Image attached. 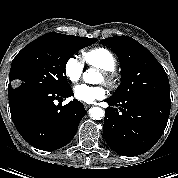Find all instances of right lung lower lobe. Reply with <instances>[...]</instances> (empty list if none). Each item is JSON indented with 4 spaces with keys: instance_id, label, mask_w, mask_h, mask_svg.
Listing matches in <instances>:
<instances>
[{
    "instance_id": "obj_1",
    "label": "right lung lower lobe",
    "mask_w": 178,
    "mask_h": 178,
    "mask_svg": "<svg viewBox=\"0 0 178 178\" xmlns=\"http://www.w3.org/2000/svg\"><path fill=\"white\" fill-rule=\"evenodd\" d=\"M72 95L71 86L61 90H8L11 117L17 131L40 150L52 151L67 145L86 114L83 104L76 99L64 106L60 104L63 98Z\"/></svg>"
}]
</instances>
